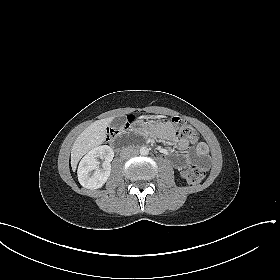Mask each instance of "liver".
I'll return each instance as SVG.
<instances>
[{"instance_id": "obj_1", "label": "liver", "mask_w": 280, "mask_h": 280, "mask_svg": "<svg viewBox=\"0 0 280 280\" xmlns=\"http://www.w3.org/2000/svg\"><path fill=\"white\" fill-rule=\"evenodd\" d=\"M114 120V117H109L97 120L89 125L76 138L71 149V167L75 171L79 160L90 149L102 144L106 138V128Z\"/></svg>"}]
</instances>
